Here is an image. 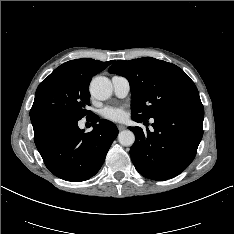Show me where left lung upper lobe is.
<instances>
[{
  "instance_id": "5c2ea615",
  "label": "left lung upper lobe",
  "mask_w": 234,
  "mask_h": 234,
  "mask_svg": "<svg viewBox=\"0 0 234 234\" xmlns=\"http://www.w3.org/2000/svg\"><path fill=\"white\" fill-rule=\"evenodd\" d=\"M108 71L128 79L132 93V118L149 119L201 102L194 82L174 64L144 57L118 60Z\"/></svg>"
}]
</instances>
